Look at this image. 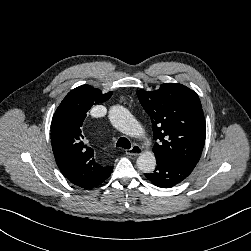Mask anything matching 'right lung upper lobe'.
I'll use <instances>...</instances> for the list:
<instances>
[{"instance_id": "obj_1", "label": "right lung upper lobe", "mask_w": 251, "mask_h": 251, "mask_svg": "<svg viewBox=\"0 0 251 251\" xmlns=\"http://www.w3.org/2000/svg\"><path fill=\"white\" fill-rule=\"evenodd\" d=\"M111 95L90 85L79 86L67 94L52 119L51 144L56 163L67 179L81 188L94 185L111 169L95 161L94 150L82 134L89 109Z\"/></svg>"}]
</instances>
